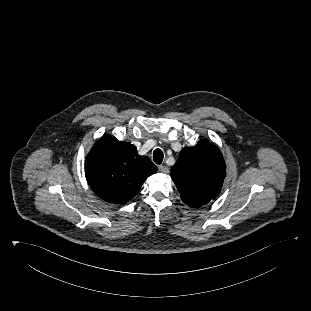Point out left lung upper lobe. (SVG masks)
I'll return each instance as SVG.
<instances>
[{
  "instance_id": "5c2ea615",
  "label": "left lung upper lobe",
  "mask_w": 311,
  "mask_h": 311,
  "mask_svg": "<svg viewBox=\"0 0 311 311\" xmlns=\"http://www.w3.org/2000/svg\"><path fill=\"white\" fill-rule=\"evenodd\" d=\"M225 175L222 153L208 140L185 147L171 169V177L182 201L194 208L218 196Z\"/></svg>"
}]
</instances>
